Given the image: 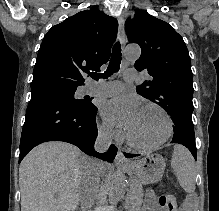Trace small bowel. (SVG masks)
Instances as JSON below:
<instances>
[{"instance_id": "c3829d8e", "label": "small bowel", "mask_w": 219, "mask_h": 211, "mask_svg": "<svg viewBox=\"0 0 219 211\" xmlns=\"http://www.w3.org/2000/svg\"><path fill=\"white\" fill-rule=\"evenodd\" d=\"M194 208L195 200L192 196H189L181 206L180 211H194ZM143 211H164L158 206L156 196L153 191H149L146 194Z\"/></svg>"}]
</instances>
